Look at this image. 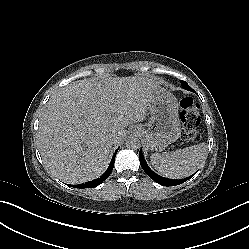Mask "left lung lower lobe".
<instances>
[{
  "label": "left lung lower lobe",
  "mask_w": 249,
  "mask_h": 249,
  "mask_svg": "<svg viewBox=\"0 0 249 249\" xmlns=\"http://www.w3.org/2000/svg\"><path fill=\"white\" fill-rule=\"evenodd\" d=\"M139 159H140L141 167L146 172V174L150 178H152L155 182H157L158 184H160V185H163V186L179 185V184L187 181V179H183V180H171V179H167V178L161 177V176L157 175L156 173H154L148 167L147 163L145 162L141 150H140V153H139Z\"/></svg>",
  "instance_id": "0a47b994"
}]
</instances>
